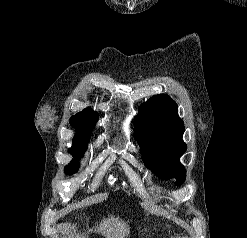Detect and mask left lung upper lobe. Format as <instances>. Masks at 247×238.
Returning <instances> with one entry per match:
<instances>
[{"instance_id": "1", "label": "left lung upper lobe", "mask_w": 247, "mask_h": 238, "mask_svg": "<svg viewBox=\"0 0 247 238\" xmlns=\"http://www.w3.org/2000/svg\"><path fill=\"white\" fill-rule=\"evenodd\" d=\"M134 132L145 165L161 178H175L182 185L186 170L179 159L187 145L182 140L184 124L176 102L164 94L150 98L139 108Z\"/></svg>"}]
</instances>
